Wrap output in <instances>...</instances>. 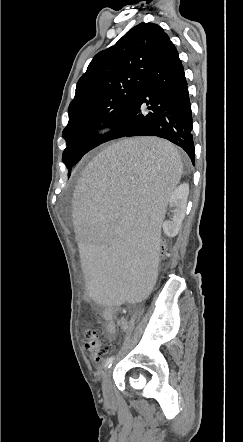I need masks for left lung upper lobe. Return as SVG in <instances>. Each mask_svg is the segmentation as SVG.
I'll use <instances>...</instances> for the list:
<instances>
[{
	"label": "left lung upper lobe",
	"mask_w": 243,
	"mask_h": 442,
	"mask_svg": "<svg viewBox=\"0 0 243 442\" xmlns=\"http://www.w3.org/2000/svg\"><path fill=\"white\" fill-rule=\"evenodd\" d=\"M169 36L157 24L140 23L117 43L96 54L78 80L63 130L66 140L62 161L69 175L84 154L109 135L102 128H115L134 104L144 79L164 49Z\"/></svg>",
	"instance_id": "left-lung-upper-lobe-1"
}]
</instances>
